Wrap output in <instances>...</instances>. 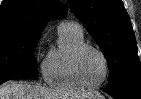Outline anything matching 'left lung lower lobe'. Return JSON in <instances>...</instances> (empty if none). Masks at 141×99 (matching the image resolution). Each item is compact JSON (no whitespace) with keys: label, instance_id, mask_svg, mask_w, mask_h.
I'll list each match as a JSON object with an SVG mask.
<instances>
[{"label":"left lung lower lobe","instance_id":"left-lung-lower-lobe-1","mask_svg":"<svg viewBox=\"0 0 141 99\" xmlns=\"http://www.w3.org/2000/svg\"><path fill=\"white\" fill-rule=\"evenodd\" d=\"M104 91H107L115 99H141V88H118Z\"/></svg>","mask_w":141,"mask_h":99}]
</instances>
